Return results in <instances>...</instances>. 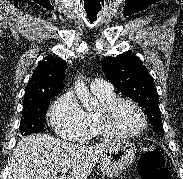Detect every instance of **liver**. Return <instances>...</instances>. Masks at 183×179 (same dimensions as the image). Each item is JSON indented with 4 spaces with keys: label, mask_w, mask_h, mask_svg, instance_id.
<instances>
[{
    "label": "liver",
    "mask_w": 183,
    "mask_h": 179,
    "mask_svg": "<svg viewBox=\"0 0 183 179\" xmlns=\"http://www.w3.org/2000/svg\"><path fill=\"white\" fill-rule=\"evenodd\" d=\"M112 142L95 146L71 144L47 134H30L14 148L8 179H87ZM63 168L72 170L58 177Z\"/></svg>",
    "instance_id": "1"
}]
</instances>
